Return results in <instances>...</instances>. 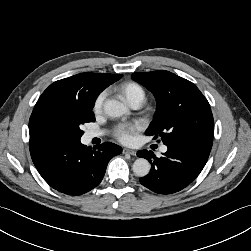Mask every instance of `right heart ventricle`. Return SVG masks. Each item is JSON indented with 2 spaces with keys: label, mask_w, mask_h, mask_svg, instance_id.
Masks as SVG:
<instances>
[{
  "label": "right heart ventricle",
  "mask_w": 251,
  "mask_h": 251,
  "mask_svg": "<svg viewBox=\"0 0 251 251\" xmlns=\"http://www.w3.org/2000/svg\"><path fill=\"white\" fill-rule=\"evenodd\" d=\"M119 89L121 94L131 105L137 102L142 104L145 99V91L143 87L136 82H125Z\"/></svg>",
  "instance_id": "1"
}]
</instances>
